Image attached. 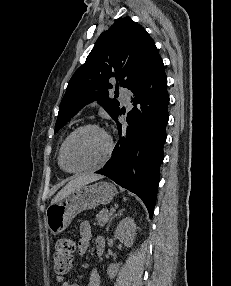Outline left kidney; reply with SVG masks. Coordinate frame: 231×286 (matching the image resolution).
<instances>
[{"label":"left kidney","mask_w":231,"mask_h":286,"mask_svg":"<svg viewBox=\"0 0 231 286\" xmlns=\"http://www.w3.org/2000/svg\"><path fill=\"white\" fill-rule=\"evenodd\" d=\"M136 224L134 219L131 217H126L122 219L115 231L117 238L124 243L127 247H130L133 244L134 237L136 235ZM120 263L110 264L107 268L108 276L113 279L119 271Z\"/></svg>","instance_id":"obj_1"}]
</instances>
